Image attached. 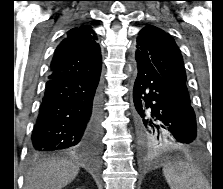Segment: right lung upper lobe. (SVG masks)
<instances>
[{"mask_svg":"<svg viewBox=\"0 0 223 189\" xmlns=\"http://www.w3.org/2000/svg\"><path fill=\"white\" fill-rule=\"evenodd\" d=\"M100 70L101 51L94 31L86 25L68 31L54 53L48 78H81Z\"/></svg>","mask_w":223,"mask_h":189,"instance_id":"cb5924a9","label":"right lung upper lobe"}]
</instances>
